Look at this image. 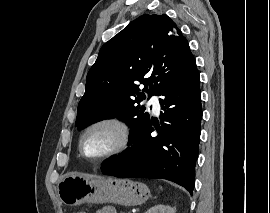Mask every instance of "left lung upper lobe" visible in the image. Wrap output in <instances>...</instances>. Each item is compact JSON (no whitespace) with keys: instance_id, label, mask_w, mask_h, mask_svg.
Returning <instances> with one entry per match:
<instances>
[{"instance_id":"left-lung-upper-lobe-1","label":"left lung upper lobe","mask_w":270,"mask_h":213,"mask_svg":"<svg viewBox=\"0 0 270 213\" xmlns=\"http://www.w3.org/2000/svg\"><path fill=\"white\" fill-rule=\"evenodd\" d=\"M194 64L186 38L167 15H142L100 49L87 74L76 126L117 117L129 125L133 138L150 120L140 102Z\"/></svg>"}]
</instances>
